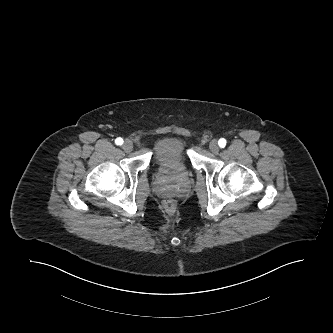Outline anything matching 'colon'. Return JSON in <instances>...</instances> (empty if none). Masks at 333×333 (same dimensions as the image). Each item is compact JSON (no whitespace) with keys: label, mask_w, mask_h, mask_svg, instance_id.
I'll use <instances>...</instances> for the list:
<instances>
[{"label":"colon","mask_w":333,"mask_h":333,"mask_svg":"<svg viewBox=\"0 0 333 333\" xmlns=\"http://www.w3.org/2000/svg\"><path fill=\"white\" fill-rule=\"evenodd\" d=\"M166 208L171 211L174 208V202L172 200H168L166 202Z\"/></svg>","instance_id":"colon-1"}]
</instances>
